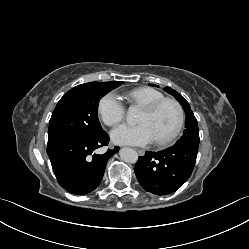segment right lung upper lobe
I'll return each instance as SVG.
<instances>
[{
    "mask_svg": "<svg viewBox=\"0 0 249 249\" xmlns=\"http://www.w3.org/2000/svg\"><path fill=\"white\" fill-rule=\"evenodd\" d=\"M116 82H118V81H111V82H109V83H112V84H114V83H116Z\"/></svg>",
    "mask_w": 249,
    "mask_h": 249,
    "instance_id": "right-lung-upper-lobe-1",
    "label": "right lung upper lobe"
}]
</instances>
